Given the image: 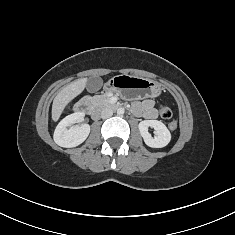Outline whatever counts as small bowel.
<instances>
[{
  "label": "small bowel",
  "instance_id": "1",
  "mask_svg": "<svg viewBox=\"0 0 235 235\" xmlns=\"http://www.w3.org/2000/svg\"><path fill=\"white\" fill-rule=\"evenodd\" d=\"M133 111L136 115L142 116L145 119L152 120L157 117V111L154 107V101L146 99L133 103Z\"/></svg>",
  "mask_w": 235,
  "mask_h": 235
}]
</instances>
